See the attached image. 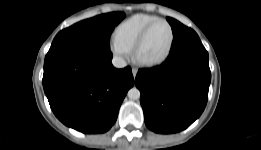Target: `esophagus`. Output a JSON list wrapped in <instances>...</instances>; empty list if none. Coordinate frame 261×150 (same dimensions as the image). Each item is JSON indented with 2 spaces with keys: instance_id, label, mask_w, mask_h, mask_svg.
Here are the masks:
<instances>
[{
  "instance_id": "1",
  "label": "esophagus",
  "mask_w": 261,
  "mask_h": 150,
  "mask_svg": "<svg viewBox=\"0 0 261 150\" xmlns=\"http://www.w3.org/2000/svg\"><path fill=\"white\" fill-rule=\"evenodd\" d=\"M137 73H138V69L132 68V75H133L134 78L136 77Z\"/></svg>"
}]
</instances>
